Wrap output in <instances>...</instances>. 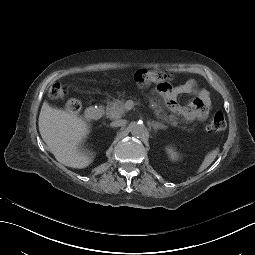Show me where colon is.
<instances>
[{"label":"colon","instance_id":"obj_1","mask_svg":"<svg viewBox=\"0 0 255 255\" xmlns=\"http://www.w3.org/2000/svg\"><path fill=\"white\" fill-rule=\"evenodd\" d=\"M171 75L159 70L140 69L135 72L134 80L139 86H147L156 84L159 90H165L169 86ZM66 90L60 83L53 84L49 89V96L53 99L61 98L65 95ZM66 107L71 112H79L81 110V102L76 98H71L67 101ZM226 128L225 116L222 112H216L209 124L208 131L220 132Z\"/></svg>","mask_w":255,"mask_h":255}]
</instances>
